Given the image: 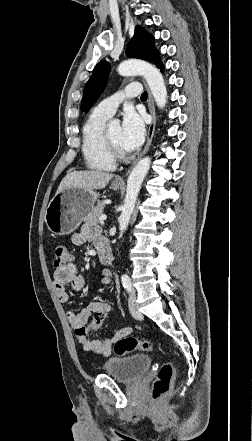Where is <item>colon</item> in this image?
Here are the masks:
<instances>
[{"label":"colon","mask_w":252,"mask_h":441,"mask_svg":"<svg viewBox=\"0 0 252 441\" xmlns=\"http://www.w3.org/2000/svg\"><path fill=\"white\" fill-rule=\"evenodd\" d=\"M71 261L72 253L69 248L65 245H58L55 249L54 266L59 268L69 264ZM110 310L111 306H108L102 310L96 311L88 326L75 331L76 336L83 338L88 336L90 332L103 328ZM152 349V342L148 340H139L132 336H126L115 343V352L117 355L121 356L127 355L136 350L148 352ZM174 372L175 367L171 362H166L161 366L153 384L152 397L154 400L159 401L169 393L173 383Z\"/></svg>","instance_id":"colon-1"}]
</instances>
